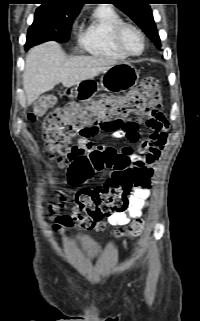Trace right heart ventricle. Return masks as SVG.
<instances>
[{
  "label": "right heart ventricle",
  "instance_id": "right-heart-ventricle-1",
  "mask_svg": "<svg viewBox=\"0 0 200 321\" xmlns=\"http://www.w3.org/2000/svg\"><path fill=\"white\" fill-rule=\"evenodd\" d=\"M123 22L124 19L113 7L98 6L78 34L79 46L93 56L114 60L126 59L127 56L114 42V32Z\"/></svg>",
  "mask_w": 200,
  "mask_h": 321
}]
</instances>
